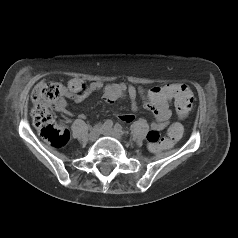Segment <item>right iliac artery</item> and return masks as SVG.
<instances>
[{
    "label": "right iliac artery",
    "mask_w": 238,
    "mask_h": 238,
    "mask_svg": "<svg viewBox=\"0 0 238 238\" xmlns=\"http://www.w3.org/2000/svg\"><path fill=\"white\" fill-rule=\"evenodd\" d=\"M112 125H113V122H112L111 120H106L105 123H104V125H103V127H104L105 129H109V128L112 127Z\"/></svg>",
    "instance_id": "right-iliac-artery-1"
}]
</instances>
